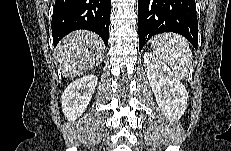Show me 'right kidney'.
<instances>
[{
    "instance_id": "1",
    "label": "right kidney",
    "mask_w": 231,
    "mask_h": 151,
    "mask_svg": "<svg viewBox=\"0 0 231 151\" xmlns=\"http://www.w3.org/2000/svg\"><path fill=\"white\" fill-rule=\"evenodd\" d=\"M95 75L83 76L70 83L61 96L62 111L69 121H75L87 108L97 85Z\"/></svg>"
}]
</instances>
